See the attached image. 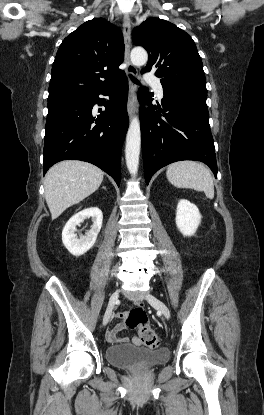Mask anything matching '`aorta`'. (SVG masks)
Instances as JSON below:
<instances>
[{"instance_id":"762f6f07","label":"aorta","mask_w":264,"mask_h":415,"mask_svg":"<svg viewBox=\"0 0 264 415\" xmlns=\"http://www.w3.org/2000/svg\"><path fill=\"white\" fill-rule=\"evenodd\" d=\"M131 61L134 65L142 66L148 60L145 49L135 47L131 51ZM141 147L140 122L138 117H133L126 136L125 159L129 173L135 176L138 172L139 155Z\"/></svg>"}]
</instances>
